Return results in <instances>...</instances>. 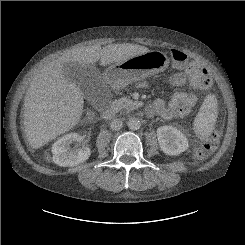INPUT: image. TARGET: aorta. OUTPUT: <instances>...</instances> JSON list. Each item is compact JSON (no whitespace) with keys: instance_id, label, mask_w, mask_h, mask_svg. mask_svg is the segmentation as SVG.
<instances>
[{"instance_id":"obj_1","label":"aorta","mask_w":245,"mask_h":245,"mask_svg":"<svg viewBox=\"0 0 245 245\" xmlns=\"http://www.w3.org/2000/svg\"><path fill=\"white\" fill-rule=\"evenodd\" d=\"M127 125L131 130H137L140 128V121L137 118H129Z\"/></svg>"}]
</instances>
